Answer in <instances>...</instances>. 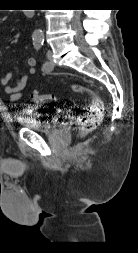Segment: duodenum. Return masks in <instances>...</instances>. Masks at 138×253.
<instances>
[{
	"label": "duodenum",
	"mask_w": 138,
	"mask_h": 253,
	"mask_svg": "<svg viewBox=\"0 0 138 253\" xmlns=\"http://www.w3.org/2000/svg\"><path fill=\"white\" fill-rule=\"evenodd\" d=\"M26 14L28 17H33L34 11H27Z\"/></svg>",
	"instance_id": "1"
}]
</instances>
